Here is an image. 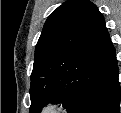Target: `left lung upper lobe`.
Returning <instances> with one entry per match:
<instances>
[{"instance_id":"1","label":"left lung upper lobe","mask_w":121,"mask_h":113,"mask_svg":"<svg viewBox=\"0 0 121 113\" xmlns=\"http://www.w3.org/2000/svg\"><path fill=\"white\" fill-rule=\"evenodd\" d=\"M105 20L87 0H70L48 17L35 48L31 74V113L46 104L71 111L112 55Z\"/></svg>"}]
</instances>
